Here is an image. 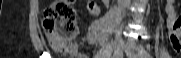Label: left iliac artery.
<instances>
[{
  "label": "left iliac artery",
  "mask_w": 181,
  "mask_h": 58,
  "mask_svg": "<svg viewBox=\"0 0 181 58\" xmlns=\"http://www.w3.org/2000/svg\"><path fill=\"white\" fill-rule=\"evenodd\" d=\"M139 52L142 56V58H152L151 55L144 49L142 45L139 47Z\"/></svg>",
  "instance_id": "obj_1"
}]
</instances>
